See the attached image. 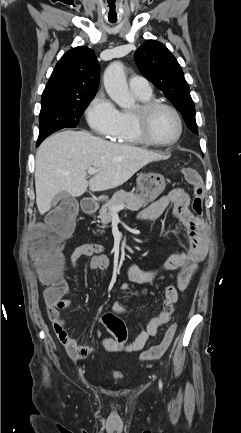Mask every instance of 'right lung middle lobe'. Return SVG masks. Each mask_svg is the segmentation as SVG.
Returning a JSON list of instances; mask_svg holds the SVG:
<instances>
[{
    "label": "right lung middle lobe",
    "instance_id": "dd1d6c3e",
    "mask_svg": "<svg viewBox=\"0 0 241 433\" xmlns=\"http://www.w3.org/2000/svg\"><path fill=\"white\" fill-rule=\"evenodd\" d=\"M93 98L47 99L41 101L37 146L50 134L62 128H75L81 114Z\"/></svg>",
    "mask_w": 241,
    "mask_h": 433
}]
</instances>
